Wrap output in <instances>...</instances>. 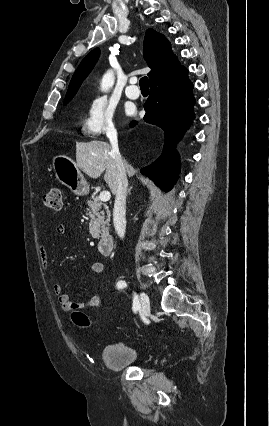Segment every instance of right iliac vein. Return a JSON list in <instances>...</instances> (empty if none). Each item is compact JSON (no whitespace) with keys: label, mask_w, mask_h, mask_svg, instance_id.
<instances>
[{"label":"right iliac vein","mask_w":269,"mask_h":426,"mask_svg":"<svg viewBox=\"0 0 269 426\" xmlns=\"http://www.w3.org/2000/svg\"><path fill=\"white\" fill-rule=\"evenodd\" d=\"M141 299V310L142 313L147 316L150 312V299L149 296L145 292H141L140 294Z\"/></svg>","instance_id":"obj_1"}]
</instances>
